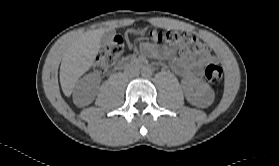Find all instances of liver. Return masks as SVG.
Masks as SVG:
<instances>
[{
	"instance_id": "6515ba94",
	"label": "liver",
	"mask_w": 279,
	"mask_h": 166,
	"mask_svg": "<svg viewBox=\"0 0 279 166\" xmlns=\"http://www.w3.org/2000/svg\"><path fill=\"white\" fill-rule=\"evenodd\" d=\"M109 27L90 30L70 42L63 53L60 66V84L66 96H70L78 79L93 65L100 49V40L107 31L114 30V21Z\"/></svg>"
}]
</instances>
